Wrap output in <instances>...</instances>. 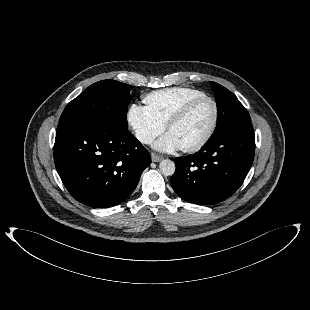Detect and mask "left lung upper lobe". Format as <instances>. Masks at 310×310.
<instances>
[{"label": "left lung upper lobe", "mask_w": 310, "mask_h": 310, "mask_svg": "<svg viewBox=\"0 0 310 310\" xmlns=\"http://www.w3.org/2000/svg\"><path fill=\"white\" fill-rule=\"evenodd\" d=\"M217 102V127L210 140L251 123L249 113L236 96L225 87L210 82Z\"/></svg>", "instance_id": "5c2ea615"}]
</instances>
